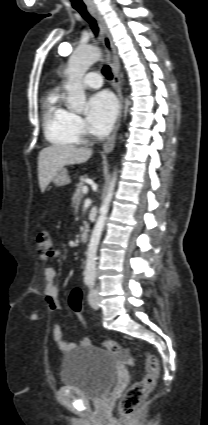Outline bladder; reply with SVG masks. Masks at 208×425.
<instances>
[{
	"mask_svg": "<svg viewBox=\"0 0 208 425\" xmlns=\"http://www.w3.org/2000/svg\"><path fill=\"white\" fill-rule=\"evenodd\" d=\"M116 376L113 355L94 346L71 351L64 358L61 370V381L66 387L93 401H99L109 393Z\"/></svg>",
	"mask_w": 208,
	"mask_h": 425,
	"instance_id": "1",
	"label": "bladder"
}]
</instances>
